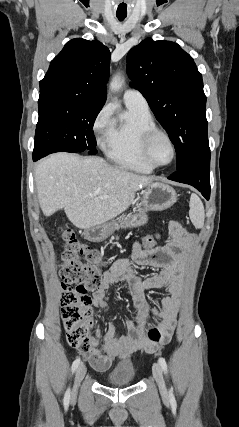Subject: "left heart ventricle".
I'll list each match as a JSON object with an SVG mask.
<instances>
[{
    "instance_id": "1",
    "label": "left heart ventricle",
    "mask_w": 239,
    "mask_h": 427,
    "mask_svg": "<svg viewBox=\"0 0 239 427\" xmlns=\"http://www.w3.org/2000/svg\"><path fill=\"white\" fill-rule=\"evenodd\" d=\"M171 155L172 150L168 141L164 137L158 136L150 149L152 160L158 164H165L170 160Z\"/></svg>"
}]
</instances>
